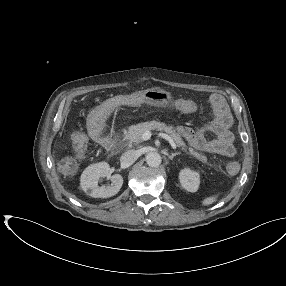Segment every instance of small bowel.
<instances>
[{"label":"small bowel","instance_id":"small-bowel-1","mask_svg":"<svg viewBox=\"0 0 286 286\" xmlns=\"http://www.w3.org/2000/svg\"><path fill=\"white\" fill-rule=\"evenodd\" d=\"M215 120L198 130L188 126H179L178 134L192 147L208 153L218 154L223 157H233L235 154L234 136L230 131L232 124L231 115L224 97L215 94L211 98ZM176 110L191 114L197 111V104L192 100L178 99L174 103ZM213 135V138H210Z\"/></svg>","mask_w":286,"mask_h":286}]
</instances>
